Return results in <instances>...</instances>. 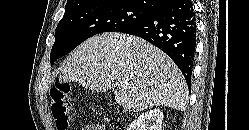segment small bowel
<instances>
[{
    "mask_svg": "<svg viewBox=\"0 0 249 130\" xmlns=\"http://www.w3.org/2000/svg\"><path fill=\"white\" fill-rule=\"evenodd\" d=\"M81 130H105L102 124H88L82 127Z\"/></svg>",
    "mask_w": 249,
    "mask_h": 130,
    "instance_id": "c3829d8e",
    "label": "small bowel"
}]
</instances>
